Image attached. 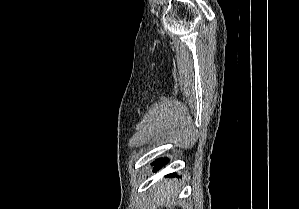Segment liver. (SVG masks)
<instances>
[{
  "label": "liver",
  "instance_id": "liver-1",
  "mask_svg": "<svg viewBox=\"0 0 299 209\" xmlns=\"http://www.w3.org/2000/svg\"><path fill=\"white\" fill-rule=\"evenodd\" d=\"M176 187L172 188V182H162L158 188L154 191V201L158 206H170L173 204L171 199L176 196Z\"/></svg>",
  "mask_w": 299,
  "mask_h": 209
}]
</instances>
